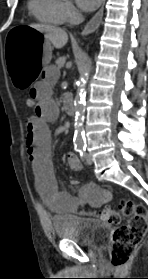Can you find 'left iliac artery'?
<instances>
[{"label": "left iliac artery", "instance_id": "1", "mask_svg": "<svg viewBox=\"0 0 148 279\" xmlns=\"http://www.w3.org/2000/svg\"><path fill=\"white\" fill-rule=\"evenodd\" d=\"M85 148H83L79 153H80V156L81 158H84V155H85Z\"/></svg>", "mask_w": 148, "mask_h": 279}]
</instances>
